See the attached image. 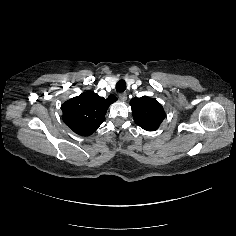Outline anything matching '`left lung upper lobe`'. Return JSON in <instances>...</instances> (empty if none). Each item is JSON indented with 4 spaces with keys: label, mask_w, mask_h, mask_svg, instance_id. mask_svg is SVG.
<instances>
[{
    "label": "left lung upper lobe",
    "mask_w": 236,
    "mask_h": 236,
    "mask_svg": "<svg viewBox=\"0 0 236 236\" xmlns=\"http://www.w3.org/2000/svg\"><path fill=\"white\" fill-rule=\"evenodd\" d=\"M134 121L147 131H155L165 118L162 105L154 98L143 96L130 101Z\"/></svg>",
    "instance_id": "5c2ea615"
}]
</instances>
